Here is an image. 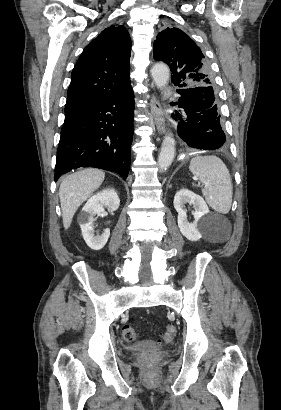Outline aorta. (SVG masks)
Returning <instances> with one entry per match:
<instances>
[{"label":"aorta","mask_w":281,"mask_h":410,"mask_svg":"<svg viewBox=\"0 0 281 410\" xmlns=\"http://www.w3.org/2000/svg\"><path fill=\"white\" fill-rule=\"evenodd\" d=\"M155 85L159 89L165 88L169 82L170 70L164 63H156L151 70ZM175 157V140L172 133L166 134L163 139L160 153L158 156V165L160 171L167 170L172 164Z\"/></svg>","instance_id":"obj_1"}]
</instances>
